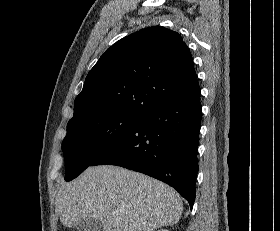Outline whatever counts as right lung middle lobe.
<instances>
[{"label":"right lung middle lobe","instance_id":"1","mask_svg":"<svg viewBox=\"0 0 280 231\" xmlns=\"http://www.w3.org/2000/svg\"><path fill=\"white\" fill-rule=\"evenodd\" d=\"M141 117L114 115L69 120L62 142L65 180L71 181L135 128Z\"/></svg>","mask_w":280,"mask_h":231}]
</instances>
